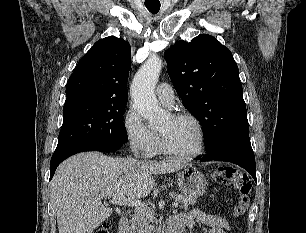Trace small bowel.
Wrapping results in <instances>:
<instances>
[{
	"label": "small bowel",
	"instance_id": "obj_1",
	"mask_svg": "<svg viewBox=\"0 0 306 233\" xmlns=\"http://www.w3.org/2000/svg\"><path fill=\"white\" fill-rule=\"evenodd\" d=\"M196 222L203 223L210 227L208 233H229V223L222 217L200 210H192L184 214L174 216L170 225L182 228H192Z\"/></svg>",
	"mask_w": 306,
	"mask_h": 233
}]
</instances>
